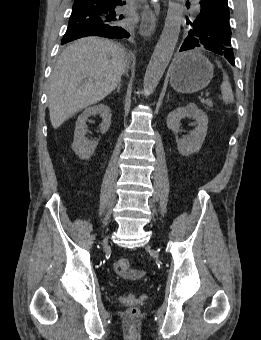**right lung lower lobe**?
<instances>
[{
  "instance_id": "98d812e1",
  "label": "right lung lower lobe",
  "mask_w": 261,
  "mask_h": 340,
  "mask_svg": "<svg viewBox=\"0 0 261 340\" xmlns=\"http://www.w3.org/2000/svg\"><path fill=\"white\" fill-rule=\"evenodd\" d=\"M123 5L121 0H75L64 36L128 37V32L122 33L119 27L123 26L118 24L126 17V12L119 10Z\"/></svg>"
}]
</instances>
